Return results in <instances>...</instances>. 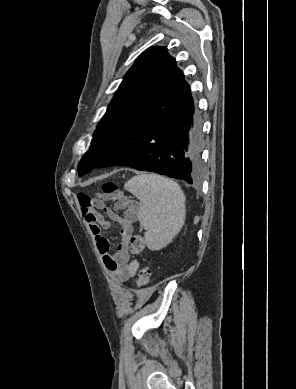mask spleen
Wrapping results in <instances>:
<instances>
[{"mask_svg":"<svg viewBox=\"0 0 296 389\" xmlns=\"http://www.w3.org/2000/svg\"><path fill=\"white\" fill-rule=\"evenodd\" d=\"M124 188L140 200L137 217L146 229V246L150 250L165 247L185 222V196L179 185L166 177L147 173L132 177Z\"/></svg>","mask_w":296,"mask_h":389,"instance_id":"spleen-1","label":"spleen"}]
</instances>
